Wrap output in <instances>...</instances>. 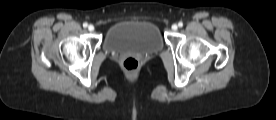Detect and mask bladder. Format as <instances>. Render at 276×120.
<instances>
[{
	"label": "bladder",
	"mask_w": 276,
	"mask_h": 120,
	"mask_svg": "<svg viewBox=\"0 0 276 120\" xmlns=\"http://www.w3.org/2000/svg\"><path fill=\"white\" fill-rule=\"evenodd\" d=\"M164 42L157 25L147 21H120L106 32L103 47L110 53L158 52Z\"/></svg>",
	"instance_id": "31cf9c89"
}]
</instances>
